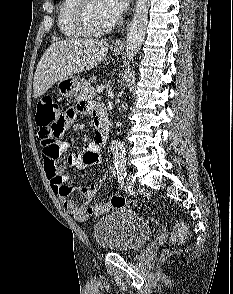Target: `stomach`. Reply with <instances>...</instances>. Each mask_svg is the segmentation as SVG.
Instances as JSON below:
<instances>
[{
  "mask_svg": "<svg viewBox=\"0 0 233 294\" xmlns=\"http://www.w3.org/2000/svg\"><path fill=\"white\" fill-rule=\"evenodd\" d=\"M115 54L120 52L119 49L113 50ZM81 80L77 76H69L57 82V90L62 97L73 98L78 96L81 89Z\"/></svg>",
  "mask_w": 233,
  "mask_h": 294,
  "instance_id": "0dacf381",
  "label": "stomach"
}]
</instances>
